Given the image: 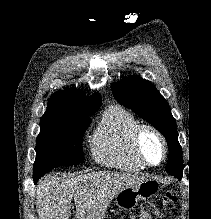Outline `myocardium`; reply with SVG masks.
Listing matches in <instances>:
<instances>
[{"instance_id":"f54148a6","label":"myocardium","mask_w":211,"mask_h":219,"mask_svg":"<svg viewBox=\"0 0 211 219\" xmlns=\"http://www.w3.org/2000/svg\"><path fill=\"white\" fill-rule=\"evenodd\" d=\"M146 132H150L152 133L155 137H157V139L160 141L161 146H162V155H161V159L158 163H151L149 162L142 150H141V141H142V137ZM132 144H133V151L136 155V157L146 166V167H158L160 165H162L164 163V161L166 160L167 154H168V145H167V141L165 136L162 134V132L156 128L155 126L151 125V124H140L133 135V140H132Z\"/></svg>"}]
</instances>
